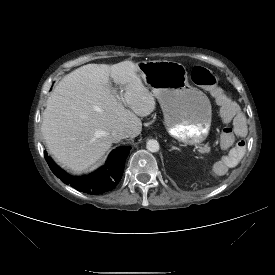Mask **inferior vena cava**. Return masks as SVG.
<instances>
[{
    "instance_id": "602c4592",
    "label": "inferior vena cava",
    "mask_w": 275,
    "mask_h": 275,
    "mask_svg": "<svg viewBox=\"0 0 275 275\" xmlns=\"http://www.w3.org/2000/svg\"><path fill=\"white\" fill-rule=\"evenodd\" d=\"M113 141L119 142L121 139L129 137V130L126 127H118L111 132Z\"/></svg>"
}]
</instances>
